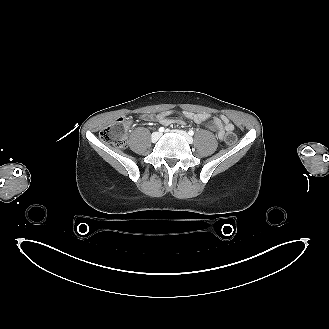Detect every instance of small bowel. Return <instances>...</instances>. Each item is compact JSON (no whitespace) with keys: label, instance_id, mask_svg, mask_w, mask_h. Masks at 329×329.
Listing matches in <instances>:
<instances>
[{"label":"small bowel","instance_id":"small-bowel-1","mask_svg":"<svg viewBox=\"0 0 329 329\" xmlns=\"http://www.w3.org/2000/svg\"><path fill=\"white\" fill-rule=\"evenodd\" d=\"M143 119H155L164 125H170L175 122L184 123L186 120H189L196 124H207L213 131L216 132V136L219 140H223L226 133H230L234 130V125L225 115L212 116L208 113H195L185 111L177 116H174L173 111H164L158 113L155 116L145 114L143 115Z\"/></svg>","mask_w":329,"mask_h":329}]
</instances>
